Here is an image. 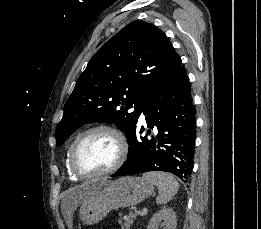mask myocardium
I'll use <instances>...</instances> for the list:
<instances>
[{
    "label": "myocardium",
    "instance_id": "obj_1",
    "mask_svg": "<svg viewBox=\"0 0 261 229\" xmlns=\"http://www.w3.org/2000/svg\"><path fill=\"white\" fill-rule=\"evenodd\" d=\"M98 132H106L111 134L118 146V157L116 159V162L113 166H111L109 169L100 171V172H86L78 168L75 162V155L78 150V148L81 146V144L91 135L98 133ZM128 156V142L125 137V135L117 128L109 126V125H99L92 128H89L88 130L81 133L75 141L72 143L70 147L69 152V159H68V165L71 171L77 175L80 178H96V177H102L110 175L114 172H116L120 167L124 164Z\"/></svg>",
    "mask_w": 261,
    "mask_h": 229
}]
</instances>
